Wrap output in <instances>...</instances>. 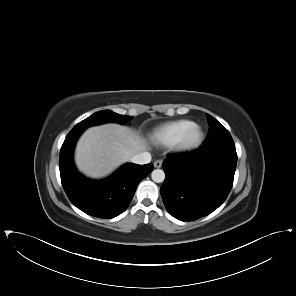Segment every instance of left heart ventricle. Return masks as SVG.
Wrapping results in <instances>:
<instances>
[{"label":"left heart ventricle","instance_id":"b2bd125f","mask_svg":"<svg viewBox=\"0 0 296 296\" xmlns=\"http://www.w3.org/2000/svg\"><path fill=\"white\" fill-rule=\"evenodd\" d=\"M195 136H196V133L195 132H192L191 135H190V137H189V139L190 140H193L195 138Z\"/></svg>","mask_w":296,"mask_h":296}]
</instances>
